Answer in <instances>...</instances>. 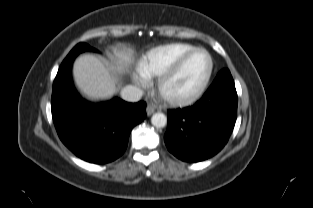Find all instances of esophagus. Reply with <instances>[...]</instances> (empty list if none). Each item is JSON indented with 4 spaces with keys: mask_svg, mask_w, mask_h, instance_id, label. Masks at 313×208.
<instances>
[{
    "mask_svg": "<svg viewBox=\"0 0 313 208\" xmlns=\"http://www.w3.org/2000/svg\"><path fill=\"white\" fill-rule=\"evenodd\" d=\"M156 111V106L155 105H151L149 104L147 107H146V112H147V115L150 116L152 115L153 113H155Z\"/></svg>",
    "mask_w": 313,
    "mask_h": 208,
    "instance_id": "esophagus-1",
    "label": "esophagus"
}]
</instances>
